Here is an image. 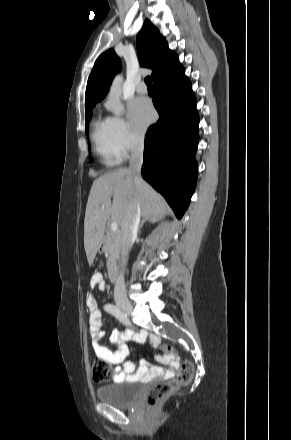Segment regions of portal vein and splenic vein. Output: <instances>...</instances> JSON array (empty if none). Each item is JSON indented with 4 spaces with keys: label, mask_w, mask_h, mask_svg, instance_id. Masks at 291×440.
<instances>
[{
    "label": "portal vein and splenic vein",
    "mask_w": 291,
    "mask_h": 440,
    "mask_svg": "<svg viewBox=\"0 0 291 440\" xmlns=\"http://www.w3.org/2000/svg\"><path fill=\"white\" fill-rule=\"evenodd\" d=\"M102 209H104V207H102ZM111 231L114 233L118 231V224L116 222L111 223Z\"/></svg>",
    "instance_id": "1"
}]
</instances>
